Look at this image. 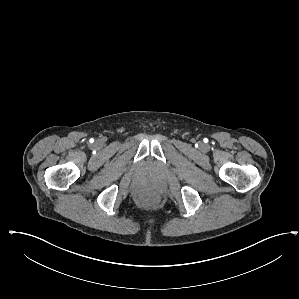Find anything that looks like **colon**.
<instances>
[{
    "label": "colon",
    "instance_id": "obj_1",
    "mask_svg": "<svg viewBox=\"0 0 299 299\" xmlns=\"http://www.w3.org/2000/svg\"><path fill=\"white\" fill-rule=\"evenodd\" d=\"M147 201L151 204H154V203H156V198L154 196H150L147 198Z\"/></svg>",
    "mask_w": 299,
    "mask_h": 299
}]
</instances>
